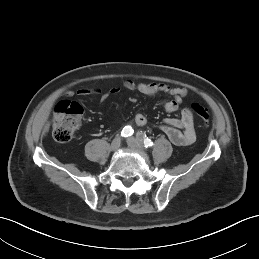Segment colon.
<instances>
[{"instance_id":"1","label":"colon","mask_w":259,"mask_h":259,"mask_svg":"<svg viewBox=\"0 0 259 259\" xmlns=\"http://www.w3.org/2000/svg\"><path fill=\"white\" fill-rule=\"evenodd\" d=\"M192 110L200 118L204 126H209L210 115L200 104H193ZM83 108L72 101L61 102L55 109L53 116V136L58 142H67L72 138L74 130L80 123Z\"/></svg>"}]
</instances>
